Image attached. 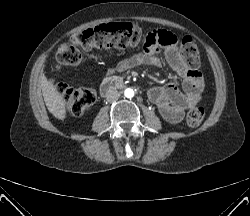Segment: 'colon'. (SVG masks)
Here are the masks:
<instances>
[{"mask_svg":"<svg viewBox=\"0 0 250 216\" xmlns=\"http://www.w3.org/2000/svg\"><path fill=\"white\" fill-rule=\"evenodd\" d=\"M145 38L141 28L135 24L129 22L105 23L76 33L69 40L63 42L58 48L57 58L62 64L78 65L82 60L81 49L132 48L139 45ZM180 56L186 69L197 70L200 65V56L198 48L191 38L185 37L181 41ZM56 89L58 94L63 97L68 112L75 116L83 114L96 99V94L91 88H74L66 83H57ZM204 116V108L196 106L188 112L187 123L191 127H196L201 124Z\"/></svg>","mask_w":250,"mask_h":216,"instance_id":"colon-1","label":"colon"}]
</instances>
